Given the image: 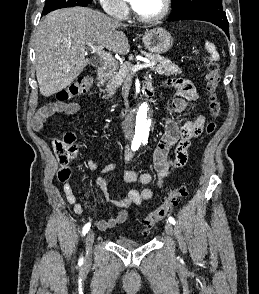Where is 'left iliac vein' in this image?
I'll return each mask as SVG.
<instances>
[{
  "instance_id": "left-iliac-vein-1",
  "label": "left iliac vein",
  "mask_w": 259,
  "mask_h": 294,
  "mask_svg": "<svg viewBox=\"0 0 259 294\" xmlns=\"http://www.w3.org/2000/svg\"><path fill=\"white\" fill-rule=\"evenodd\" d=\"M165 232L168 236H171V237L173 236L174 229H173V226L171 223H169V222L165 223Z\"/></svg>"
}]
</instances>
